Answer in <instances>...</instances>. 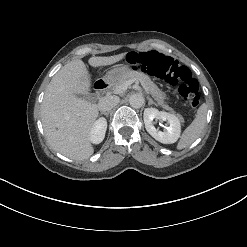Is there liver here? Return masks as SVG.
Listing matches in <instances>:
<instances>
[{
	"mask_svg": "<svg viewBox=\"0 0 247 247\" xmlns=\"http://www.w3.org/2000/svg\"><path fill=\"white\" fill-rule=\"evenodd\" d=\"M125 53L91 57L92 67L108 66L122 60ZM91 75L81 59L63 66L51 79L41 105V121L50 146L73 160H86L93 153L90 130L98 117V106L79 98L88 94Z\"/></svg>",
	"mask_w": 247,
	"mask_h": 247,
	"instance_id": "1",
	"label": "liver"
}]
</instances>
